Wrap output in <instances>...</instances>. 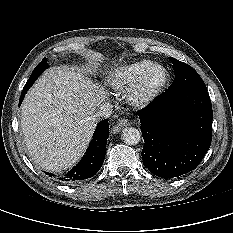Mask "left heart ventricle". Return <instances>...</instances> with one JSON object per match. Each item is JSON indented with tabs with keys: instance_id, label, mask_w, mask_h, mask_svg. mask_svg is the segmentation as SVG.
Listing matches in <instances>:
<instances>
[{
	"instance_id": "b2bd125f",
	"label": "left heart ventricle",
	"mask_w": 233,
	"mask_h": 233,
	"mask_svg": "<svg viewBox=\"0 0 233 233\" xmlns=\"http://www.w3.org/2000/svg\"><path fill=\"white\" fill-rule=\"evenodd\" d=\"M161 77V74L159 72H156L152 77V83L157 82Z\"/></svg>"
}]
</instances>
